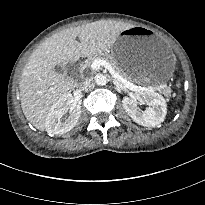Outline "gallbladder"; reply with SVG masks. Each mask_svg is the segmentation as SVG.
Listing matches in <instances>:
<instances>
[{"label":"gallbladder","mask_w":205,"mask_h":205,"mask_svg":"<svg viewBox=\"0 0 205 205\" xmlns=\"http://www.w3.org/2000/svg\"><path fill=\"white\" fill-rule=\"evenodd\" d=\"M54 70L60 74H66L69 77H72V71L69 68H64L61 65L55 66Z\"/></svg>","instance_id":"obj_1"}]
</instances>
